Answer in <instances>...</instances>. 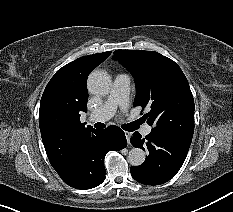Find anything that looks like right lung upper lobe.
Listing matches in <instances>:
<instances>
[{
    "instance_id": "1",
    "label": "right lung upper lobe",
    "mask_w": 233,
    "mask_h": 212,
    "mask_svg": "<svg viewBox=\"0 0 233 212\" xmlns=\"http://www.w3.org/2000/svg\"><path fill=\"white\" fill-rule=\"evenodd\" d=\"M110 51L84 56L60 68L47 84L40 102L39 127L42 141L56 171L68 165L96 129L80 122L86 111V79Z\"/></svg>"
}]
</instances>
